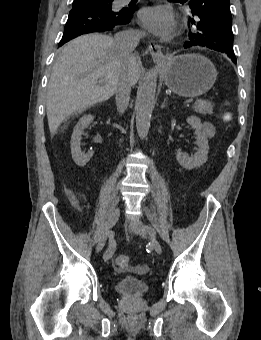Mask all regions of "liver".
<instances>
[{"label": "liver", "mask_w": 261, "mask_h": 340, "mask_svg": "<svg viewBox=\"0 0 261 340\" xmlns=\"http://www.w3.org/2000/svg\"><path fill=\"white\" fill-rule=\"evenodd\" d=\"M122 74L135 85L139 61L135 56L122 58L112 37L87 34L70 41L55 62L47 86L50 133L53 135L69 116L111 98Z\"/></svg>", "instance_id": "6515ba94"}]
</instances>
